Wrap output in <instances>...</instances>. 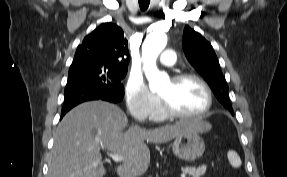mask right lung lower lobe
Wrapping results in <instances>:
<instances>
[{
	"label": "right lung lower lobe",
	"mask_w": 287,
	"mask_h": 177,
	"mask_svg": "<svg viewBox=\"0 0 287 177\" xmlns=\"http://www.w3.org/2000/svg\"><path fill=\"white\" fill-rule=\"evenodd\" d=\"M61 118L74 106L91 100L119 102L124 96L122 85H106L94 81H76L67 83Z\"/></svg>",
	"instance_id": "right-lung-lower-lobe-1"
}]
</instances>
